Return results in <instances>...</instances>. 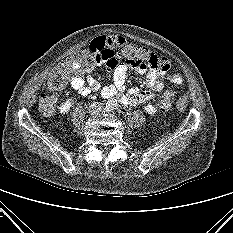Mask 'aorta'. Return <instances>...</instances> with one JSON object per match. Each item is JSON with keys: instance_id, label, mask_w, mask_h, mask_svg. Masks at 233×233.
Here are the masks:
<instances>
[{"instance_id": "aorta-1", "label": "aorta", "mask_w": 233, "mask_h": 233, "mask_svg": "<svg viewBox=\"0 0 233 233\" xmlns=\"http://www.w3.org/2000/svg\"><path fill=\"white\" fill-rule=\"evenodd\" d=\"M108 106H109V107H114V106H115V101H114V100H110V101L108 102Z\"/></svg>"}]
</instances>
